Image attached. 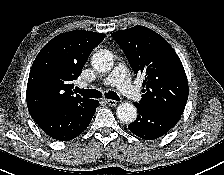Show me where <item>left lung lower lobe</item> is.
Instances as JSON below:
<instances>
[{
  "label": "left lung lower lobe",
  "instance_id": "left-lung-lower-lobe-1",
  "mask_svg": "<svg viewBox=\"0 0 224 175\" xmlns=\"http://www.w3.org/2000/svg\"><path fill=\"white\" fill-rule=\"evenodd\" d=\"M138 110L136 121L128 125L129 130L145 140L157 139L166 134L179 121L181 114L158 110L134 103Z\"/></svg>",
  "mask_w": 224,
  "mask_h": 175
}]
</instances>
